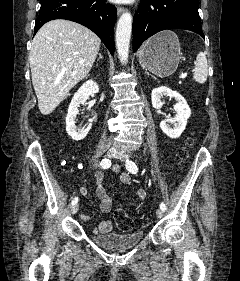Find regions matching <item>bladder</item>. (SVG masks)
<instances>
[{
  "label": "bladder",
  "mask_w": 240,
  "mask_h": 281,
  "mask_svg": "<svg viewBox=\"0 0 240 281\" xmlns=\"http://www.w3.org/2000/svg\"><path fill=\"white\" fill-rule=\"evenodd\" d=\"M143 232L97 234L92 241L102 249L112 252L126 251L137 246L143 239Z\"/></svg>",
  "instance_id": "bladder-1"
}]
</instances>
